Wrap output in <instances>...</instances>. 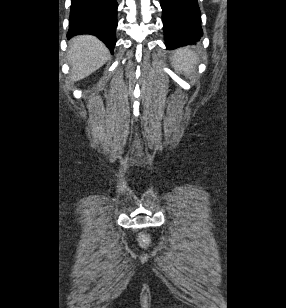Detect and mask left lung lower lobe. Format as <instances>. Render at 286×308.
<instances>
[{
    "instance_id": "1",
    "label": "left lung lower lobe",
    "mask_w": 286,
    "mask_h": 308,
    "mask_svg": "<svg viewBox=\"0 0 286 308\" xmlns=\"http://www.w3.org/2000/svg\"><path fill=\"white\" fill-rule=\"evenodd\" d=\"M168 50L194 44L203 35L197 0H160Z\"/></svg>"
}]
</instances>
